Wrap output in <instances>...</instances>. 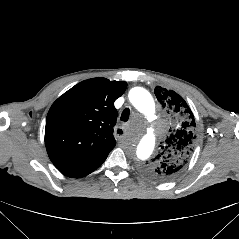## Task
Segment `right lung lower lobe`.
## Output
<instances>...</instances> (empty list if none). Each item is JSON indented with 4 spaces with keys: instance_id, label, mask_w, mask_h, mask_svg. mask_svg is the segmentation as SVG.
<instances>
[{
    "instance_id": "obj_1",
    "label": "right lung lower lobe",
    "mask_w": 239,
    "mask_h": 239,
    "mask_svg": "<svg viewBox=\"0 0 239 239\" xmlns=\"http://www.w3.org/2000/svg\"><path fill=\"white\" fill-rule=\"evenodd\" d=\"M105 161V159L103 161H101L99 164H97L96 166H94L92 169H90L89 171L85 172L84 174H81L79 176H77L76 178H80V177H84L88 174H90L91 172H93L94 170H96L103 162Z\"/></svg>"
}]
</instances>
